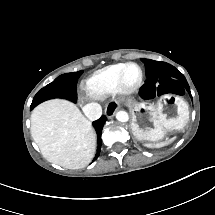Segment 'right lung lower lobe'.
<instances>
[{
  "label": "right lung lower lobe",
  "mask_w": 215,
  "mask_h": 215,
  "mask_svg": "<svg viewBox=\"0 0 215 215\" xmlns=\"http://www.w3.org/2000/svg\"><path fill=\"white\" fill-rule=\"evenodd\" d=\"M107 118L106 116H101L98 120L93 122V125L96 129L97 135H98V148H97V153L96 156L94 158V160H96L100 154V149H101V133H102V128L104 123L106 122Z\"/></svg>",
  "instance_id": "98d812e1"
}]
</instances>
